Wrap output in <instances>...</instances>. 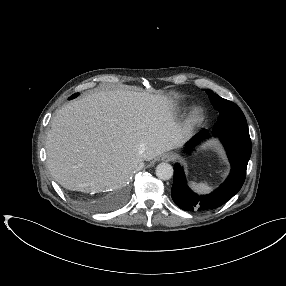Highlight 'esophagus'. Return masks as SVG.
Here are the masks:
<instances>
[{
	"label": "esophagus",
	"instance_id": "34e87169",
	"mask_svg": "<svg viewBox=\"0 0 286 286\" xmlns=\"http://www.w3.org/2000/svg\"><path fill=\"white\" fill-rule=\"evenodd\" d=\"M175 159V156L173 154L167 153L165 155L162 156V161L164 162H170L173 161Z\"/></svg>",
	"mask_w": 286,
	"mask_h": 286
}]
</instances>
